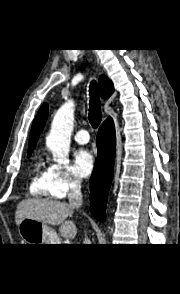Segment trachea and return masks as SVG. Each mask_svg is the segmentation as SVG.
Listing matches in <instances>:
<instances>
[{"instance_id": "trachea-1", "label": "trachea", "mask_w": 180, "mask_h": 294, "mask_svg": "<svg viewBox=\"0 0 180 294\" xmlns=\"http://www.w3.org/2000/svg\"><path fill=\"white\" fill-rule=\"evenodd\" d=\"M90 108L88 119L93 128H97L102 120V113L100 109V99L95 81L90 83Z\"/></svg>"}]
</instances>
